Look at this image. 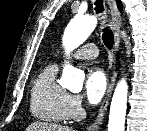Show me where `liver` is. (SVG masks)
<instances>
[{
    "instance_id": "liver-1",
    "label": "liver",
    "mask_w": 147,
    "mask_h": 131,
    "mask_svg": "<svg viewBox=\"0 0 147 131\" xmlns=\"http://www.w3.org/2000/svg\"><path fill=\"white\" fill-rule=\"evenodd\" d=\"M26 131H74L73 128L52 124L47 122H34L30 124Z\"/></svg>"
}]
</instances>
